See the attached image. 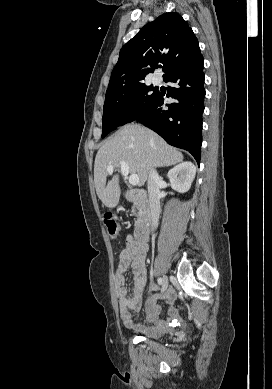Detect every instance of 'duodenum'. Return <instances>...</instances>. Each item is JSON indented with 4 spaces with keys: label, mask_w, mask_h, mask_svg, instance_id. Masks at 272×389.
<instances>
[{
    "label": "duodenum",
    "mask_w": 272,
    "mask_h": 389,
    "mask_svg": "<svg viewBox=\"0 0 272 389\" xmlns=\"http://www.w3.org/2000/svg\"><path fill=\"white\" fill-rule=\"evenodd\" d=\"M126 198L137 202L142 208V213L135 227L134 240L144 243L149 238L152 222V216L148 206V194L143 189H134L127 192Z\"/></svg>",
    "instance_id": "obj_1"
}]
</instances>
